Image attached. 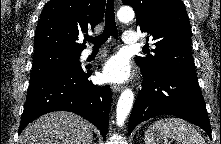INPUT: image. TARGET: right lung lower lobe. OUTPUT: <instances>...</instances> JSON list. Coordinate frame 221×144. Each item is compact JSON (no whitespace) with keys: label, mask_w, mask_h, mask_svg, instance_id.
<instances>
[{"label":"right lung lower lobe","mask_w":221,"mask_h":144,"mask_svg":"<svg viewBox=\"0 0 221 144\" xmlns=\"http://www.w3.org/2000/svg\"><path fill=\"white\" fill-rule=\"evenodd\" d=\"M81 65L55 70L30 82L19 133L34 119L53 111H70L93 123L106 138L110 105L109 86H96Z\"/></svg>","instance_id":"1"}]
</instances>
